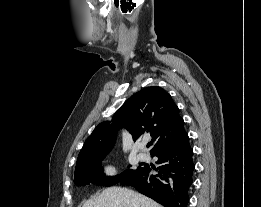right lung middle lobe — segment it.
<instances>
[{
  "mask_svg": "<svg viewBox=\"0 0 261 207\" xmlns=\"http://www.w3.org/2000/svg\"><path fill=\"white\" fill-rule=\"evenodd\" d=\"M104 157L96 158L88 161L85 164L75 168L74 183L76 185H86L90 183H96L97 185L112 186L119 181L133 175L139 171L142 167H138L136 170L128 169L122 174L114 177H107L103 174L101 167V160ZM129 165L128 167H130Z\"/></svg>",
  "mask_w": 261,
  "mask_h": 207,
  "instance_id": "dd1d6c3e",
  "label": "right lung middle lobe"
}]
</instances>
